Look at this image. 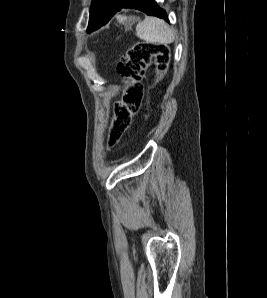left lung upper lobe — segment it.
Returning a JSON list of instances; mask_svg holds the SVG:
<instances>
[{"label": "left lung upper lobe", "mask_w": 267, "mask_h": 298, "mask_svg": "<svg viewBox=\"0 0 267 298\" xmlns=\"http://www.w3.org/2000/svg\"><path fill=\"white\" fill-rule=\"evenodd\" d=\"M114 1H117V0H93L91 4L90 17L98 14L101 10L106 9Z\"/></svg>", "instance_id": "5c2ea615"}]
</instances>
